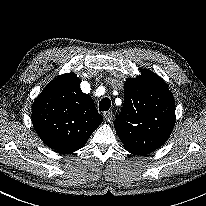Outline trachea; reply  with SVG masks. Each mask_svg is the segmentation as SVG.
<instances>
[{
	"instance_id": "obj_1",
	"label": "trachea",
	"mask_w": 206,
	"mask_h": 206,
	"mask_svg": "<svg viewBox=\"0 0 206 206\" xmlns=\"http://www.w3.org/2000/svg\"><path fill=\"white\" fill-rule=\"evenodd\" d=\"M111 107V100L107 97L103 98L99 103V110L104 112L108 111Z\"/></svg>"
}]
</instances>
